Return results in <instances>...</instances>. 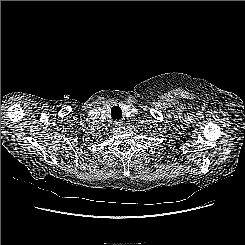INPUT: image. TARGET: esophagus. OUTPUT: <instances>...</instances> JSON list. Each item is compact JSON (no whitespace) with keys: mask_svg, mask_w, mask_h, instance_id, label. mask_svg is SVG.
I'll return each mask as SVG.
<instances>
[{"mask_svg":"<svg viewBox=\"0 0 245 245\" xmlns=\"http://www.w3.org/2000/svg\"><path fill=\"white\" fill-rule=\"evenodd\" d=\"M114 125L116 127H121L123 125V122L121 120H116V121H114Z\"/></svg>","mask_w":245,"mask_h":245,"instance_id":"34e87169","label":"esophagus"}]
</instances>
